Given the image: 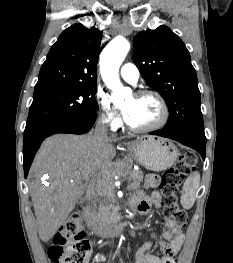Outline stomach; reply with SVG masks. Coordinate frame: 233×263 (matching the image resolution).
<instances>
[{"instance_id":"1","label":"stomach","mask_w":233,"mask_h":263,"mask_svg":"<svg viewBox=\"0 0 233 263\" xmlns=\"http://www.w3.org/2000/svg\"><path fill=\"white\" fill-rule=\"evenodd\" d=\"M130 155L151 171H163L178 158L176 146L164 138L140 136L127 144Z\"/></svg>"}]
</instances>
